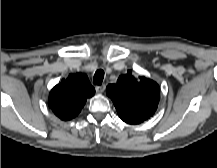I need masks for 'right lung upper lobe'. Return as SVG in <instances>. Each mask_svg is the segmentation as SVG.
Segmentation results:
<instances>
[{
    "instance_id": "1",
    "label": "right lung upper lobe",
    "mask_w": 217,
    "mask_h": 168,
    "mask_svg": "<svg viewBox=\"0 0 217 168\" xmlns=\"http://www.w3.org/2000/svg\"><path fill=\"white\" fill-rule=\"evenodd\" d=\"M95 94L86 74H70L67 79L53 87L49 94V106L56 116L67 121L75 118L87 98Z\"/></svg>"
}]
</instances>
